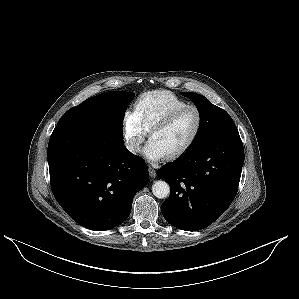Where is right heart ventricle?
<instances>
[{"instance_id":"e07e8e85","label":"right heart ventricle","mask_w":299,"mask_h":299,"mask_svg":"<svg viewBox=\"0 0 299 299\" xmlns=\"http://www.w3.org/2000/svg\"><path fill=\"white\" fill-rule=\"evenodd\" d=\"M188 103L170 91L156 90L144 93L135 103V113L149 130L173 111Z\"/></svg>"}]
</instances>
